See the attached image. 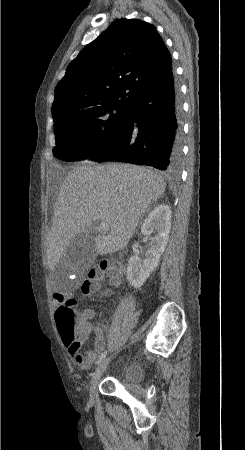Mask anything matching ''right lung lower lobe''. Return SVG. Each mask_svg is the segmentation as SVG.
Masks as SVG:
<instances>
[{
    "mask_svg": "<svg viewBox=\"0 0 245 450\" xmlns=\"http://www.w3.org/2000/svg\"><path fill=\"white\" fill-rule=\"evenodd\" d=\"M181 102L172 69L129 105L120 136L87 159L153 166L169 175L181 168Z\"/></svg>",
    "mask_w": 245,
    "mask_h": 450,
    "instance_id": "1",
    "label": "right lung lower lobe"
}]
</instances>
